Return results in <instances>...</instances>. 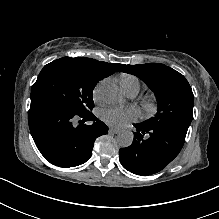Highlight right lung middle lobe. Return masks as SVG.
<instances>
[{"mask_svg":"<svg viewBox=\"0 0 219 219\" xmlns=\"http://www.w3.org/2000/svg\"><path fill=\"white\" fill-rule=\"evenodd\" d=\"M112 72L72 58L57 59L41 70L31 90L32 101H50L73 114H89L97 82Z\"/></svg>","mask_w":219,"mask_h":219,"instance_id":"obj_1","label":"right lung middle lobe"}]
</instances>
